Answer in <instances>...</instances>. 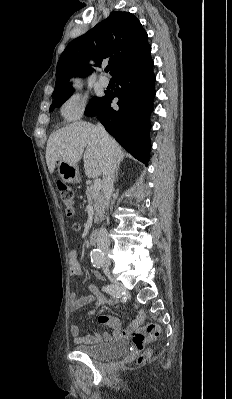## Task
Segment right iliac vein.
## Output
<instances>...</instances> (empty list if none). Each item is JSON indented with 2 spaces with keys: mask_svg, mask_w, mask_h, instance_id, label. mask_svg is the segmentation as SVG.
Masks as SVG:
<instances>
[{
  "mask_svg": "<svg viewBox=\"0 0 232 399\" xmlns=\"http://www.w3.org/2000/svg\"><path fill=\"white\" fill-rule=\"evenodd\" d=\"M106 265H107V270H110L111 262H110V261H107V262H106Z\"/></svg>",
  "mask_w": 232,
  "mask_h": 399,
  "instance_id": "right-iliac-vein-1",
  "label": "right iliac vein"
}]
</instances>
